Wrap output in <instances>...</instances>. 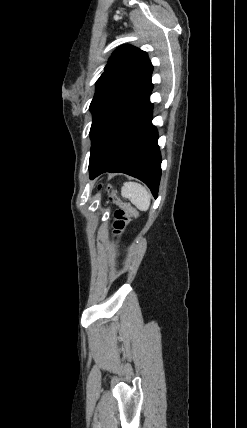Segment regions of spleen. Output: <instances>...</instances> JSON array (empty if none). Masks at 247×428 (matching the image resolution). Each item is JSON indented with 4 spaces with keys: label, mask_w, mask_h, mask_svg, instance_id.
I'll return each instance as SVG.
<instances>
[{
    "label": "spleen",
    "mask_w": 247,
    "mask_h": 428,
    "mask_svg": "<svg viewBox=\"0 0 247 428\" xmlns=\"http://www.w3.org/2000/svg\"><path fill=\"white\" fill-rule=\"evenodd\" d=\"M121 195L129 199L139 210L147 211L149 209L151 195L141 184L125 182L121 190Z\"/></svg>",
    "instance_id": "3e777b00"
}]
</instances>
